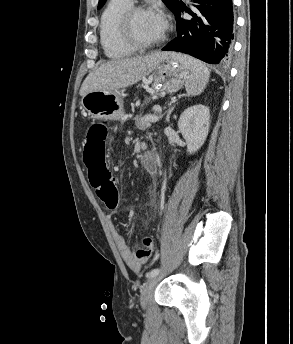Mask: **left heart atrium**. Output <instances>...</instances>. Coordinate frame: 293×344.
Segmentation results:
<instances>
[{"label":"left heart atrium","instance_id":"1","mask_svg":"<svg viewBox=\"0 0 293 344\" xmlns=\"http://www.w3.org/2000/svg\"><path fill=\"white\" fill-rule=\"evenodd\" d=\"M152 14L157 26L162 32H164L167 27V22H166L164 14L159 10L152 12Z\"/></svg>","mask_w":293,"mask_h":344}]
</instances>
